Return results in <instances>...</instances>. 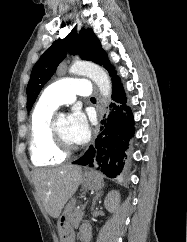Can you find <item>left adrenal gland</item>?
<instances>
[{"mask_svg":"<svg viewBox=\"0 0 187 242\" xmlns=\"http://www.w3.org/2000/svg\"><path fill=\"white\" fill-rule=\"evenodd\" d=\"M103 195V191H98L95 195V197L93 198V203H92V208L95 207L96 205V201Z\"/></svg>","mask_w":187,"mask_h":242,"instance_id":"left-adrenal-gland-1","label":"left adrenal gland"}]
</instances>
